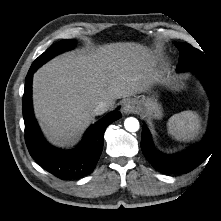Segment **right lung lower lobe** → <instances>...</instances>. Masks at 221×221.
<instances>
[{"instance_id":"98d812e1","label":"right lung lower lobe","mask_w":221,"mask_h":221,"mask_svg":"<svg viewBox=\"0 0 221 221\" xmlns=\"http://www.w3.org/2000/svg\"><path fill=\"white\" fill-rule=\"evenodd\" d=\"M37 69L30 68L26 76L23 95L25 140L30 155L42 168L60 179H77L86 176L94 170L98 162L103 149V134L106 127L121 118V113L111 112L91 126L82 144L75 151H63L50 146L43 138L33 115L32 77Z\"/></svg>"}]
</instances>
